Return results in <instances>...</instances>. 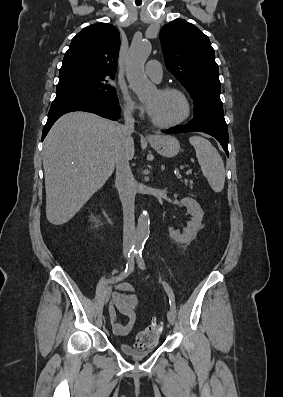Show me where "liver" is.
Listing matches in <instances>:
<instances>
[{
	"label": "liver",
	"instance_id": "6515ba94",
	"mask_svg": "<svg viewBox=\"0 0 283 397\" xmlns=\"http://www.w3.org/2000/svg\"><path fill=\"white\" fill-rule=\"evenodd\" d=\"M120 125L98 115L65 114L44 140L46 217L53 225L71 220L114 171L125 150L134 156V140L123 141Z\"/></svg>",
	"mask_w": 283,
	"mask_h": 397
}]
</instances>
